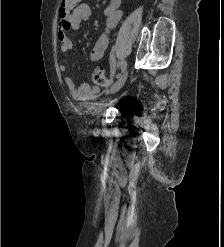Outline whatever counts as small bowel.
<instances>
[{
    "label": "small bowel",
    "mask_w": 224,
    "mask_h": 247,
    "mask_svg": "<svg viewBox=\"0 0 224 247\" xmlns=\"http://www.w3.org/2000/svg\"><path fill=\"white\" fill-rule=\"evenodd\" d=\"M104 14L106 16V27L91 48L89 56L92 61H98L103 57L109 43V33L117 26L123 16L121 0H110L104 9ZM91 16V7L88 4L82 3L77 5L74 11L60 22L57 38L62 52L66 53L73 47V43L68 37L67 32L79 29L81 24L89 20ZM59 68L62 72L68 70L66 64H61ZM64 82L71 96L78 100L91 99L99 92L98 86L90 87L88 84H82L80 87H77L71 77H65Z\"/></svg>",
    "instance_id": "c3829d8e"
}]
</instances>
